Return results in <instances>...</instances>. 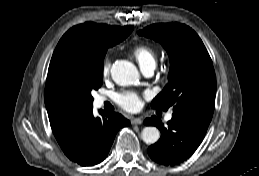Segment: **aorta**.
<instances>
[{"mask_svg":"<svg viewBox=\"0 0 259 176\" xmlns=\"http://www.w3.org/2000/svg\"><path fill=\"white\" fill-rule=\"evenodd\" d=\"M111 76L115 83L128 86L134 84L139 77L136 66L127 60H118L111 67ZM142 140L147 144H154L160 138V131L153 126L145 127L141 133Z\"/></svg>","mask_w":259,"mask_h":176,"instance_id":"obj_1","label":"aorta"}]
</instances>
